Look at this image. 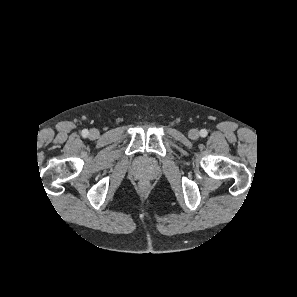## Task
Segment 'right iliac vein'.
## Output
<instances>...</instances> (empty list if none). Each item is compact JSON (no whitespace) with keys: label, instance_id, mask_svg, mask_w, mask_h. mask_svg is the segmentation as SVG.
<instances>
[{"label":"right iliac vein","instance_id":"63e3f726","mask_svg":"<svg viewBox=\"0 0 297 297\" xmlns=\"http://www.w3.org/2000/svg\"><path fill=\"white\" fill-rule=\"evenodd\" d=\"M89 137L91 139H97L99 137V131L97 129H91L89 132Z\"/></svg>","mask_w":297,"mask_h":297}]
</instances>
